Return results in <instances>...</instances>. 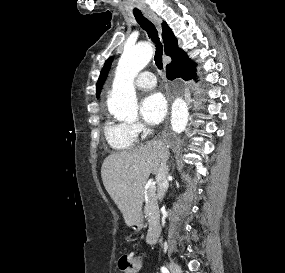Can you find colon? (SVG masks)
<instances>
[{
  "instance_id": "obj_1",
  "label": "colon",
  "mask_w": 285,
  "mask_h": 273,
  "mask_svg": "<svg viewBox=\"0 0 285 273\" xmlns=\"http://www.w3.org/2000/svg\"><path fill=\"white\" fill-rule=\"evenodd\" d=\"M121 273H137L142 266V257L134 255H125L118 262Z\"/></svg>"
}]
</instances>
